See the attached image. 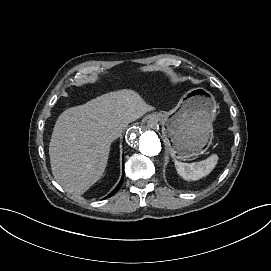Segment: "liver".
<instances>
[{"label": "liver", "mask_w": 271, "mask_h": 271, "mask_svg": "<svg viewBox=\"0 0 271 271\" xmlns=\"http://www.w3.org/2000/svg\"><path fill=\"white\" fill-rule=\"evenodd\" d=\"M153 111L129 90L104 95L65 110L57 119L49 146L52 173L65 191L87 192L103 176L112 135Z\"/></svg>", "instance_id": "6515ba94"}]
</instances>
